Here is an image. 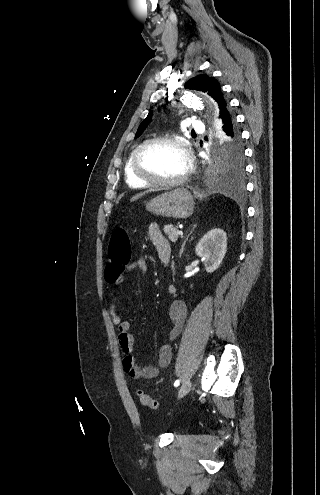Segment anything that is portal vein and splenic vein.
<instances>
[{
	"label": "portal vein and splenic vein",
	"mask_w": 320,
	"mask_h": 495,
	"mask_svg": "<svg viewBox=\"0 0 320 495\" xmlns=\"http://www.w3.org/2000/svg\"><path fill=\"white\" fill-rule=\"evenodd\" d=\"M177 234L182 236L183 235V232L182 231H177Z\"/></svg>",
	"instance_id": "portal-vein-and-splenic-vein-1"
}]
</instances>
